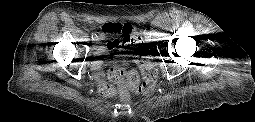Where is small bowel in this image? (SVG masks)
Returning a JSON list of instances; mask_svg holds the SVG:
<instances>
[{"mask_svg": "<svg viewBox=\"0 0 255 122\" xmlns=\"http://www.w3.org/2000/svg\"><path fill=\"white\" fill-rule=\"evenodd\" d=\"M98 37L100 39H104L105 32L103 30L101 32H99ZM127 45H129V39L125 35L121 34V35H117L116 38L109 41L99 51H100V54L105 55V54L109 53L110 51L117 50L120 47L127 46ZM101 65H102V62L100 60H97L92 64V69L96 72V74H99ZM100 85H101V83H100ZM100 85H99V89H100Z\"/></svg>", "mask_w": 255, "mask_h": 122, "instance_id": "1", "label": "small bowel"}]
</instances>
